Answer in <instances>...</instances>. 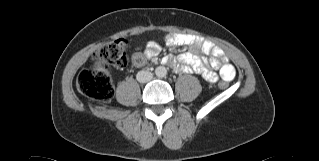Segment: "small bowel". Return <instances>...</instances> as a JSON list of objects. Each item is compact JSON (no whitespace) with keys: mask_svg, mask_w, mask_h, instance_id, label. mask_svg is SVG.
Returning <instances> with one entry per match:
<instances>
[{"mask_svg":"<svg viewBox=\"0 0 319 161\" xmlns=\"http://www.w3.org/2000/svg\"><path fill=\"white\" fill-rule=\"evenodd\" d=\"M165 41L170 46L184 45L190 48L189 52L166 59V63L174 68L175 71L182 73L194 71L209 82L217 80V74L214 70H219L223 80L230 81L234 78V66L228 62L223 50L214 46L212 42L187 33L167 34ZM146 47L149 56L156 55L158 45L155 41L147 42ZM201 54H211L212 57L209 61L211 69L207 67L206 60L200 56ZM177 62L182 63V65H177Z\"/></svg>","mask_w":319,"mask_h":161,"instance_id":"1","label":"small bowel"}]
</instances>
